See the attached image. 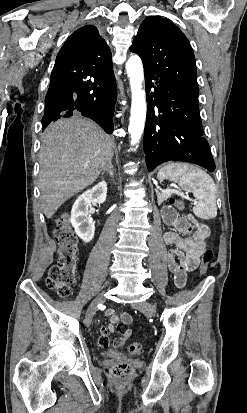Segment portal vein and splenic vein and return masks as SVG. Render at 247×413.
<instances>
[{
    "label": "portal vein and splenic vein",
    "mask_w": 247,
    "mask_h": 413,
    "mask_svg": "<svg viewBox=\"0 0 247 413\" xmlns=\"http://www.w3.org/2000/svg\"><path fill=\"white\" fill-rule=\"evenodd\" d=\"M155 184H157V180H154ZM177 189L172 190V188H164V190H162V192H174L175 194L178 193L179 197H184L185 200H188L189 202L193 201L192 197H189L188 195H186L188 192L187 191H181V192H177Z\"/></svg>",
    "instance_id": "obj_1"
}]
</instances>
